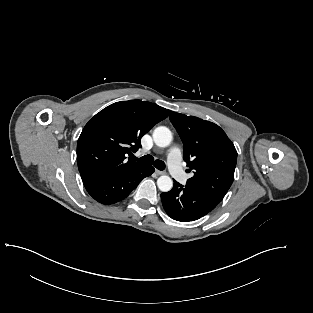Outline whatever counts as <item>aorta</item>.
Instances as JSON below:
<instances>
[{
    "label": "aorta",
    "instance_id": "762f6f07",
    "mask_svg": "<svg viewBox=\"0 0 313 313\" xmlns=\"http://www.w3.org/2000/svg\"><path fill=\"white\" fill-rule=\"evenodd\" d=\"M153 140L159 147H167L172 141L171 131L165 127H157L153 132ZM157 186L162 192H168L173 187V181L169 176L163 175L157 179Z\"/></svg>",
    "mask_w": 313,
    "mask_h": 313
}]
</instances>
